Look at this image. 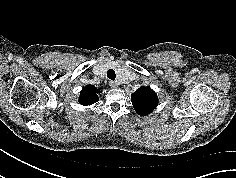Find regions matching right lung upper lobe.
Segmentation results:
<instances>
[{
  "label": "right lung upper lobe",
  "instance_id": "right-lung-upper-lobe-1",
  "mask_svg": "<svg viewBox=\"0 0 236 178\" xmlns=\"http://www.w3.org/2000/svg\"><path fill=\"white\" fill-rule=\"evenodd\" d=\"M99 92L100 90L97 89L94 85H86L85 87H83L80 94V104L85 106L94 104L98 101L97 93Z\"/></svg>",
  "mask_w": 236,
  "mask_h": 178
}]
</instances>
